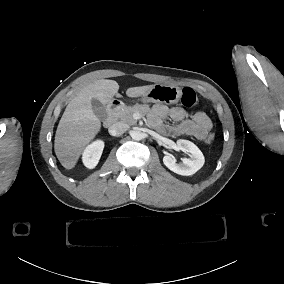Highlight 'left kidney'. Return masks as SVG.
<instances>
[{"mask_svg": "<svg viewBox=\"0 0 284 284\" xmlns=\"http://www.w3.org/2000/svg\"><path fill=\"white\" fill-rule=\"evenodd\" d=\"M179 150L189 154L190 158H183L181 163H176V159L170 155L163 157V163L171 171L184 176L195 174L202 168L205 158L200 149L191 141L179 139L176 142Z\"/></svg>", "mask_w": 284, "mask_h": 284, "instance_id": "obj_1", "label": "left kidney"}]
</instances>
